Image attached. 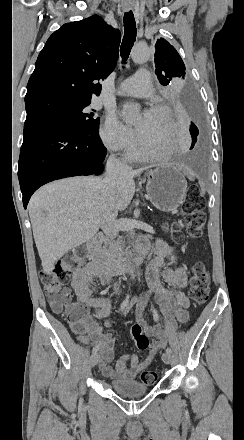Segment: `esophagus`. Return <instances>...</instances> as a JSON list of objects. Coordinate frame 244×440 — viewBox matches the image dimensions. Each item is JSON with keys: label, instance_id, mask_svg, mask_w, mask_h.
<instances>
[{"label": "esophagus", "instance_id": "34e87169", "mask_svg": "<svg viewBox=\"0 0 244 440\" xmlns=\"http://www.w3.org/2000/svg\"><path fill=\"white\" fill-rule=\"evenodd\" d=\"M123 8V10L124 11H127V10H129V8L128 7H122Z\"/></svg>", "mask_w": 244, "mask_h": 440}]
</instances>
